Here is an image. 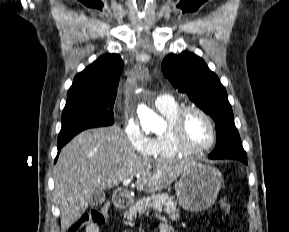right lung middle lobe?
Listing matches in <instances>:
<instances>
[{"label": "right lung middle lobe", "mask_w": 289, "mask_h": 232, "mask_svg": "<svg viewBox=\"0 0 289 232\" xmlns=\"http://www.w3.org/2000/svg\"><path fill=\"white\" fill-rule=\"evenodd\" d=\"M116 97H80L67 100L62 113V128L58 147L64 146L79 132L114 123L113 106Z\"/></svg>", "instance_id": "1"}]
</instances>
